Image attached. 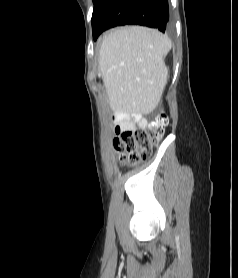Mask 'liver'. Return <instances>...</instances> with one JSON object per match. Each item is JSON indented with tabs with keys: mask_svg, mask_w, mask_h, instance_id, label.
Masks as SVG:
<instances>
[{
	"mask_svg": "<svg viewBox=\"0 0 238 278\" xmlns=\"http://www.w3.org/2000/svg\"><path fill=\"white\" fill-rule=\"evenodd\" d=\"M171 47L166 35L142 26L103 37L99 67L113 111L148 114L156 108L167 83L164 58Z\"/></svg>",
	"mask_w": 238,
	"mask_h": 278,
	"instance_id": "6515ba94",
	"label": "liver"
}]
</instances>
